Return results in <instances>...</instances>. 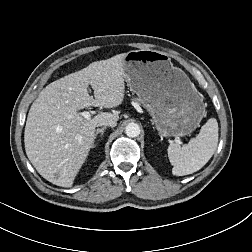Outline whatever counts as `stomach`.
<instances>
[{
    "mask_svg": "<svg viewBox=\"0 0 252 252\" xmlns=\"http://www.w3.org/2000/svg\"><path fill=\"white\" fill-rule=\"evenodd\" d=\"M124 55L125 80L159 134L182 137L192 133L204 117L205 106L188 76L164 52L135 50Z\"/></svg>",
    "mask_w": 252,
    "mask_h": 252,
    "instance_id": "obj_1",
    "label": "stomach"
}]
</instances>
